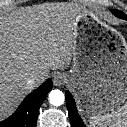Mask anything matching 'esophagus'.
Here are the masks:
<instances>
[{
    "label": "esophagus",
    "instance_id": "esophagus-1",
    "mask_svg": "<svg viewBox=\"0 0 127 127\" xmlns=\"http://www.w3.org/2000/svg\"><path fill=\"white\" fill-rule=\"evenodd\" d=\"M67 81V78L64 74H57L55 77H54V85L55 86H61L63 85L65 82Z\"/></svg>",
    "mask_w": 127,
    "mask_h": 127
}]
</instances>
